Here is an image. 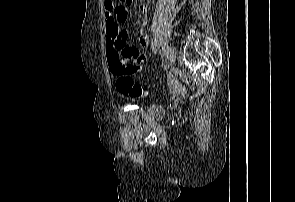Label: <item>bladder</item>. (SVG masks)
<instances>
[{
  "label": "bladder",
  "instance_id": "31cf9c89",
  "mask_svg": "<svg viewBox=\"0 0 295 202\" xmlns=\"http://www.w3.org/2000/svg\"><path fill=\"white\" fill-rule=\"evenodd\" d=\"M147 113L153 118L160 119L164 117L165 110L159 104L153 103L149 105Z\"/></svg>",
  "mask_w": 295,
  "mask_h": 202
}]
</instances>
